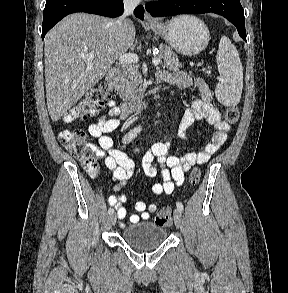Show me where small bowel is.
<instances>
[{
	"mask_svg": "<svg viewBox=\"0 0 288 293\" xmlns=\"http://www.w3.org/2000/svg\"><path fill=\"white\" fill-rule=\"evenodd\" d=\"M157 77L163 82L175 85L181 89L196 87L200 97L193 100L189 107L182 112L178 129V137L187 139L188 129L196 122L204 120L215 128L210 142L201 152H188L183 156L170 154L171 141L156 142L142 157V167L148 177L160 176L162 182L154 183L151 187L153 195L171 194L176 186L184 182L185 173L195 164H205L210 157L224 144L227 135L231 130L230 125L225 122L220 112L213 105V95L206 82L200 77H191L185 71L170 73L160 71ZM125 113L115 102L108 103L105 114H101L96 121L89 125V134L97 140V145L92 149L97 158L103 159L105 166L111 171L112 180L117 183L115 190H118L133 174L134 161L124 152L113 148V140L108 133L117 129L120 125V118L126 117ZM126 201L124 195H112L108 203L115 208L119 220H124L127 210L123 206ZM139 213L130 215L129 223H138L141 219L147 220L151 213L155 212V203L146 204L138 201L134 205Z\"/></svg>",
	"mask_w": 288,
	"mask_h": 293,
	"instance_id": "small-bowel-1",
	"label": "small bowel"
}]
</instances>
